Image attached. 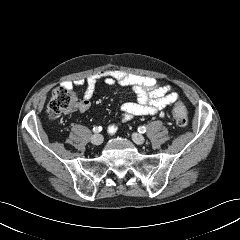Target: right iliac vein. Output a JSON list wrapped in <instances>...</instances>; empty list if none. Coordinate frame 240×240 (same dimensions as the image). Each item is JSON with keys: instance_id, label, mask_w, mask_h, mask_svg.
Instances as JSON below:
<instances>
[{"instance_id": "63e3f726", "label": "right iliac vein", "mask_w": 240, "mask_h": 240, "mask_svg": "<svg viewBox=\"0 0 240 240\" xmlns=\"http://www.w3.org/2000/svg\"><path fill=\"white\" fill-rule=\"evenodd\" d=\"M91 143L93 145H100L103 143V136L101 134H94L91 137Z\"/></svg>"}]
</instances>
